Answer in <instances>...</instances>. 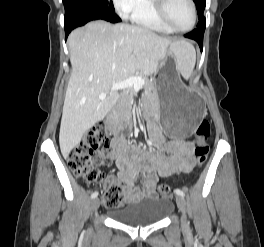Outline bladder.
<instances>
[{"instance_id": "1", "label": "bladder", "mask_w": 264, "mask_h": 247, "mask_svg": "<svg viewBox=\"0 0 264 247\" xmlns=\"http://www.w3.org/2000/svg\"><path fill=\"white\" fill-rule=\"evenodd\" d=\"M172 202L166 198H145L114 210L112 218L132 226H148L164 220L172 211Z\"/></svg>"}]
</instances>
